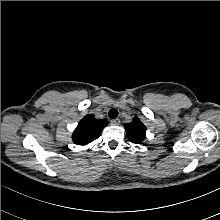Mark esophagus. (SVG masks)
Segmentation results:
<instances>
[{
    "mask_svg": "<svg viewBox=\"0 0 220 220\" xmlns=\"http://www.w3.org/2000/svg\"><path fill=\"white\" fill-rule=\"evenodd\" d=\"M111 124H112V125H119V124H120V120H119L118 118L112 119V120H111Z\"/></svg>",
    "mask_w": 220,
    "mask_h": 220,
    "instance_id": "esophagus-1",
    "label": "esophagus"
}]
</instances>
